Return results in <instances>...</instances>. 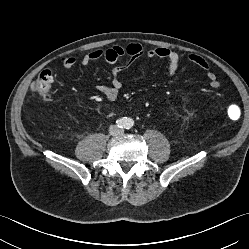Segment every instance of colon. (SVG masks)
<instances>
[{
    "label": "colon",
    "mask_w": 249,
    "mask_h": 249,
    "mask_svg": "<svg viewBox=\"0 0 249 249\" xmlns=\"http://www.w3.org/2000/svg\"><path fill=\"white\" fill-rule=\"evenodd\" d=\"M53 81L52 72L50 70H43L32 83L33 94L42 100H49L51 98ZM229 115L231 118H238L240 115L239 108L231 105L229 107Z\"/></svg>",
    "instance_id": "colon-1"
}]
</instances>
